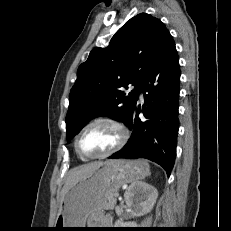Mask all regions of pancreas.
I'll use <instances>...</instances> for the list:
<instances>
[{
	"mask_svg": "<svg viewBox=\"0 0 231 231\" xmlns=\"http://www.w3.org/2000/svg\"><path fill=\"white\" fill-rule=\"evenodd\" d=\"M116 194H114L113 196L110 197L109 203H108V208H113L116 204Z\"/></svg>",
	"mask_w": 231,
	"mask_h": 231,
	"instance_id": "cf45deb5",
	"label": "pancreas"
}]
</instances>
